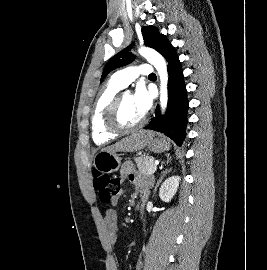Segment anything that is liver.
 Listing matches in <instances>:
<instances>
[{
    "label": "liver",
    "instance_id": "1",
    "mask_svg": "<svg viewBox=\"0 0 267 270\" xmlns=\"http://www.w3.org/2000/svg\"><path fill=\"white\" fill-rule=\"evenodd\" d=\"M152 135L154 134L151 131L141 130L134 132L131 135L119 140L115 144L104 148L103 150L109 152H135L143 149L147 144L148 138Z\"/></svg>",
    "mask_w": 267,
    "mask_h": 270
}]
</instances>
